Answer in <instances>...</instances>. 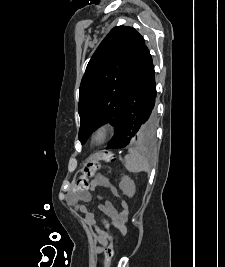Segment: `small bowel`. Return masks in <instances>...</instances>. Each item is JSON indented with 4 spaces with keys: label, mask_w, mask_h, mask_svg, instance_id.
I'll list each match as a JSON object with an SVG mask.
<instances>
[{
    "label": "small bowel",
    "mask_w": 225,
    "mask_h": 267,
    "mask_svg": "<svg viewBox=\"0 0 225 267\" xmlns=\"http://www.w3.org/2000/svg\"><path fill=\"white\" fill-rule=\"evenodd\" d=\"M98 187H105L112 191V193L118 196V191L116 187L113 185L112 181L109 177L103 174H98L90 184V187L87 191L83 193H72L68 195L67 202L73 206L78 212L85 215L87 222L94 226L95 233L94 239L99 246L96 247V252L102 254L105 251V248L108 244V236L107 232L101 230L96 226L95 216L93 212H90L85 204H81L80 201H90L91 193L94 192ZM99 208L107 212L109 216L112 218L113 225L116 226L122 235H125L127 232L126 220L128 214L127 204L122 201L121 202V210H117L111 202H105L104 204H100Z\"/></svg>",
    "instance_id": "c3829d8e"
}]
</instances>
